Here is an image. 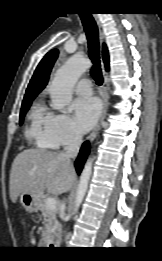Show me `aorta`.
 Masks as SVG:
<instances>
[{"label":"aorta","mask_w":162,"mask_h":261,"mask_svg":"<svg viewBox=\"0 0 162 261\" xmlns=\"http://www.w3.org/2000/svg\"><path fill=\"white\" fill-rule=\"evenodd\" d=\"M90 66L91 62L89 59L76 54L69 58L68 61L58 69L49 87L52 107L54 109L62 110L65 106L70 104L75 83ZM92 165L93 158H89L80 176L73 214L78 212L87 192L90 176L92 174Z\"/></svg>","instance_id":"1"}]
</instances>
